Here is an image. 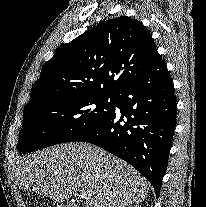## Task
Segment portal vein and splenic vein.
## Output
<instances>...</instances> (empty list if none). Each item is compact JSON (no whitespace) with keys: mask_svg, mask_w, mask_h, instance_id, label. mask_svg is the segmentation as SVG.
Segmentation results:
<instances>
[{"mask_svg":"<svg viewBox=\"0 0 206 207\" xmlns=\"http://www.w3.org/2000/svg\"><path fill=\"white\" fill-rule=\"evenodd\" d=\"M85 195H86V193L83 192V191H80L79 194H78V196H80V197H85Z\"/></svg>","mask_w":206,"mask_h":207,"instance_id":"18ae733b","label":"portal vein and splenic vein"}]
</instances>
